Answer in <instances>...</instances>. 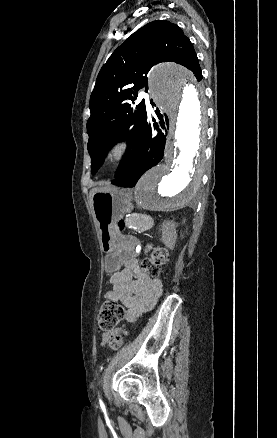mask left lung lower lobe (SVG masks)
Segmentation results:
<instances>
[{
	"instance_id": "0a47b994",
	"label": "left lung lower lobe",
	"mask_w": 277,
	"mask_h": 438,
	"mask_svg": "<svg viewBox=\"0 0 277 438\" xmlns=\"http://www.w3.org/2000/svg\"><path fill=\"white\" fill-rule=\"evenodd\" d=\"M151 104L155 105L153 102ZM155 113L160 120L162 129L158 126V120L147 118V126L133 158L126 170L113 180L112 184L123 187L135 186L141 175L151 167L156 166L163 158L167 135L163 123L168 127V118L166 115H162L158 109Z\"/></svg>"
}]
</instances>
